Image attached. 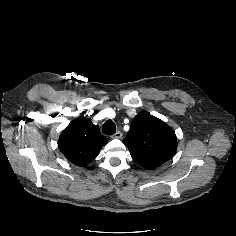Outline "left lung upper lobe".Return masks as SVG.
<instances>
[{
	"label": "left lung upper lobe",
	"mask_w": 236,
	"mask_h": 236,
	"mask_svg": "<svg viewBox=\"0 0 236 236\" xmlns=\"http://www.w3.org/2000/svg\"><path fill=\"white\" fill-rule=\"evenodd\" d=\"M123 143L140 166L152 170L173 157L177 148L175 132L146 111L133 119Z\"/></svg>",
	"instance_id": "left-lung-upper-lobe-1"
}]
</instances>
